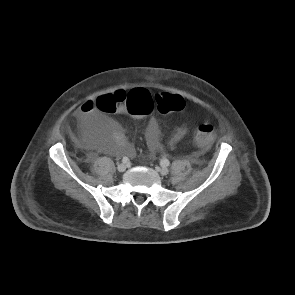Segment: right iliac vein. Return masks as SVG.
I'll return each mask as SVG.
<instances>
[{
    "mask_svg": "<svg viewBox=\"0 0 295 295\" xmlns=\"http://www.w3.org/2000/svg\"><path fill=\"white\" fill-rule=\"evenodd\" d=\"M117 170L119 172H124L126 170V164L125 163H121L118 165Z\"/></svg>",
    "mask_w": 295,
    "mask_h": 295,
    "instance_id": "63e3f726",
    "label": "right iliac vein"
}]
</instances>
